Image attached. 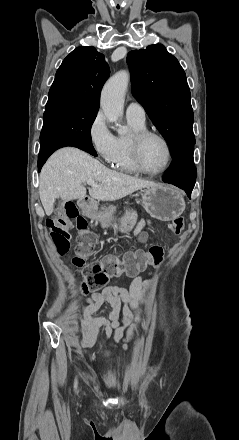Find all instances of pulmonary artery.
Instances as JSON below:
<instances>
[{
  "instance_id": "obj_1",
  "label": "pulmonary artery",
  "mask_w": 239,
  "mask_h": 440,
  "mask_svg": "<svg viewBox=\"0 0 239 440\" xmlns=\"http://www.w3.org/2000/svg\"><path fill=\"white\" fill-rule=\"evenodd\" d=\"M126 116L131 121L144 123L146 119L145 109L139 102L130 101L126 108Z\"/></svg>"
}]
</instances>
